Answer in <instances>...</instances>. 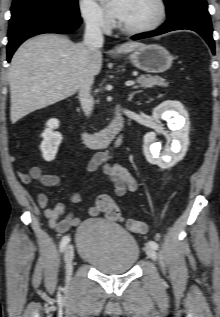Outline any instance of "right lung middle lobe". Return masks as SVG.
<instances>
[{"instance_id": "right-lung-middle-lobe-1", "label": "right lung middle lobe", "mask_w": 220, "mask_h": 317, "mask_svg": "<svg viewBox=\"0 0 220 317\" xmlns=\"http://www.w3.org/2000/svg\"><path fill=\"white\" fill-rule=\"evenodd\" d=\"M36 11H51L79 16L78 0H13L11 18Z\"/></svg>"}]
</instances>
